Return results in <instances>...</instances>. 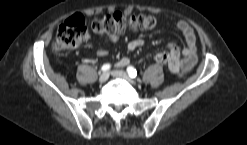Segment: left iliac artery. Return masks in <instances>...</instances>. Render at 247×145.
Returning <instances> with one entry per match:
<instances>
[{
  "mask_svg": "<svg viewBox=\"0 0 247 145\" xmlns=\"http://www.w3.org/2000/svg\"><path fill=\"white\" fill-rule=\"evenodd\" d=\"M127 72L131 78H135L137 76V71L132 66L127 67Z\"/></svg>",
  "mask_w": 247,
  "mask_h": 145,
  "instance_id": "44dca946",
  "label": "left iliac artery"
}]
</instances>
